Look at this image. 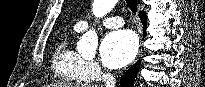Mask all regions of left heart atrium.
Segmentation results:
<instances>
[{
    "label": "left heart atrium",
    "instance_id": "left-heart-atrium-1",
    "mask_svg": "<svg viewBox=\"0 0 205 87\" xmlns=\"http://www.w3.org/2000/svg\"><path fill=\"white\" fill-rule=\"evenodd\" d=\"M138 51V40L130 30L109 33L103 40L100 55L104 64L110 68H121L129 64Z\"/></svg>",
    "mask_w": 205,
    "mask_h": 87
}]
</instances>
